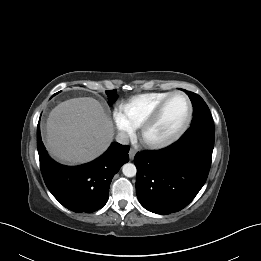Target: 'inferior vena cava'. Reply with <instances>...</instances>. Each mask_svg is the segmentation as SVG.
Returning a JSON list of instances; mask_svg holds the SVG:
<instances>
[{
  "label": "inferior vena cava",
  "instance_id": "602c4592",
  "mask_svg": "<svg viewBox=\"0 0 261 261\" xmlns=\"http://www.w3.org/2000/svg\"><path fill=\"white\" fill-rule=\"evenodd\" d=\"M116 141L120 144H128L129 143V136L125 132H120L116 136Z\"/></svg>",
  "mask_w": 261,
  "mask_h": 261
}]
</instances>
